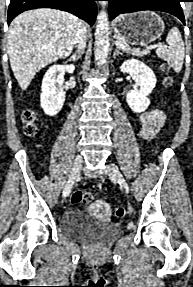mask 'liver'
Listing matches in <instances>:
<instances>
[{
	"mask_svg": "<svg viewBox=\"0 0 193 287\" xmlns=\"http://www.w3.org/2000/svg\"><path fill=\"white\" fill-rule=\"evenodd\" d=\"M78 22L68 12L49 8L26 11L11 22L7 52L22 90L39 70L71 54Z\"/></svg>",
	"mask_w": 193,
	"mask_h": 287,
	"instance_id": "1",
	"label": "liver"
}]
</instances>
